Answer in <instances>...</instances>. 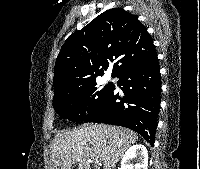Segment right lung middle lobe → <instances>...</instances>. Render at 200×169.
<instances>
[{"instance_id": "1", "label": "right lung middle lobe", "mask_w": 200, "mask_h": 169, "mask_svg": "<svg viewBox=\"0 0 200 169\" xmlns=\"http://www.w3.org/2000/svg\"><path fill=\"white\" fill-rule=\"evenodd\" d=\"M112 86L113 84L109 83L100 88L96 80L90 81L74 93L53 99L54 108L65 119L82 121L102 106Z\"/></svg>"}]
</instances>
